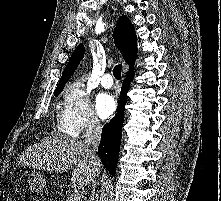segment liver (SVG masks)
Returning a JSON list of instances; mask_svg holds the SVG:
<instances>
[{
	"label": "liver",
	"instance_id": "6515ba94",
	"mask_svg": "<svg viewBox=\"0 0 221 201\" xmlns=\"http://www.w3.org/2000/svg\"><path fill=\"white\" fill-rule=\"evenodd\" d=\"M21 165L55 172L73 168L71 181L81 187L93 179L89 146L84 141L68 138L46 137L22 153Z\"/></svg>",
	"mask_w": 221,
	"mask_h": 201
}]
</instances>
